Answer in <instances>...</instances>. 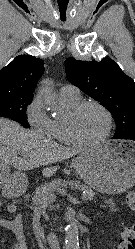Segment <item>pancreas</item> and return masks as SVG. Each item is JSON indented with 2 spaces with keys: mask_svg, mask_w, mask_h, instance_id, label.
I'll use <instances>...</instances> for the list:
<instances>
[{
  "mask_svg": "<svg viewBox=\"0 0 135 249\" xmlns=\"http://www.w3.org/2000/svg\"><path fill=\"white\" fill-rule=\"evenodd\" d=\"M65 183L62 180H53L50 183H46L41 187H38L35 191L34 197L32 198L33 209L44 212L46 206L51 202L50 196L59 188V186L64 185ZM82 190L85 191V197L88 200H92L95 192L90 188L82 187Z\"/></svg>",
  "mask_w": 135,
  "mask_h": 249,
  "instance_id": "cf45deb5",
  "label": "pancreas"
}]
</instances>
